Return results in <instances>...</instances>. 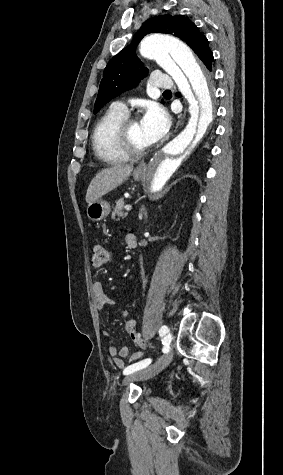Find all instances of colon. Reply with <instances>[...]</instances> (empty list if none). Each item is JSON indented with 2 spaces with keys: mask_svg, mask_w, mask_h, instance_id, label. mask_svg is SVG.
Wrapping results in <instances>:
<instances>
[{
  "mask_svg": "<svg viewBox=\"0 0 283 475\" xmlns=\"http://www.w3.org/2000/svg\"><path fill=\"white\" fill-rule=\"evenodd\" d=\"M91 258H92V266L94 268H100L109 260V252L105 248V246L102 245V243L95 242L92 246ZM121 314L123 318L125 319L126 329L131 341L134 343L136 347L141 348V349L145 348L146 342L141 336V334L139 333V331L137 330L135 320L131 318L126 311H122ZM134 356L140 357L141 351L135 350Z\"/></svg>",
  "mask_w": 283,
  "mask_h": 475,
  "instance_id": "5ec220e1",
  "label": "colon"
}]
</instances>
